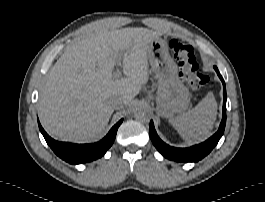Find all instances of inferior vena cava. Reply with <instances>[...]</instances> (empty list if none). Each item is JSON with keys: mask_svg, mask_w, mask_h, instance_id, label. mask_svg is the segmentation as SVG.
I'll return each mask as SVG.
<instances>
[{"mask_svg": "<svg viewBox=\"0 0 265 202\" xmlns=\"http://www.w3.org/2000/svg\"><path fill=\"white\" fill-rule=\"evenodd\" d=\"M107 103L113 109H120L124 106V99L119 95H113L108 99Z\"/></svg>", "mask_w": 265, "mask_h": 202, "instance_id": "obj_1", "label": "inferior vena cava"}]
</instances>
